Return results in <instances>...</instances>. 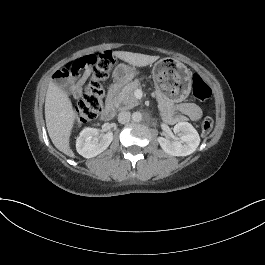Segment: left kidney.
Returning <instances> with one entry per match:
<instances>
[{
    "label": "left kidney",
    "mask_w": 265,
    "mask_h": 265,
    "mask_svg": "<svg viewBox=\"0 0 265 265\" xmlns=\"http://www.w3.org/2000/svg\"><path fill=\"white\" fill-rule=\"evenodd\" d=\"M174 133L179 137H158V142L165 153L173 156H187L199 146L200 137L196 129L188 122H179L174 126Z\"/></svg>",
    "instance_id": "left-kidney-1"
}]
</instances>
